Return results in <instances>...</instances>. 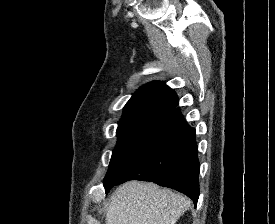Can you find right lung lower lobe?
<instances>
[{
    "instance_id": "obj_1",
    "label": "right lung lower lobe",
    "mask_w": 275,
    "mask_h": 224,
    "mask_svg": "<svg viewBox=\"0 0 275 224\" xmlns=\"http://www.w3.org/2000/svg\"><path fill=\"white\" fill-rule=\"evenodd\" d=\"M200 164L195 129L174 108L150 130L120 169L104 181L106 192L129 180L151 181L186 194L197 204Z\"/></svg>"
}]
</instances>
